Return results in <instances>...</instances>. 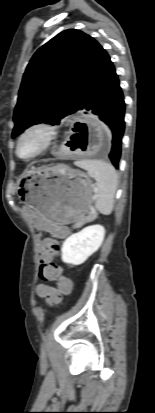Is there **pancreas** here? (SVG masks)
<instances>
[{
	"label": "pancreas",
	"instance_id": "pancreas-1",
	"mask_svg": "<svg viewBox=\"0 0 155 413\" xmlns=\"http://www.w3.org/2000/svg\"><path fill=\"white\" fill-rule=\"evenodd\" d=\"M96 217H97V215L95 213L90 214L89 216L84 217L83 219L76 221L73 228H75V229L80 228L85 223L95 220Z\"/></svg>",
	"mask_w": 155,
	"mask_h": 413
}]
</instances>
